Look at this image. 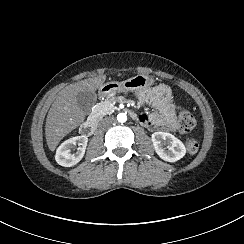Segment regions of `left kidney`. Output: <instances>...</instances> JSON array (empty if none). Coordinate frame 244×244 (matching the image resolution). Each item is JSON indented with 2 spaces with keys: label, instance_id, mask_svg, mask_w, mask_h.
I'll use <instances>...</instances> for the list:
<instances>
[{
  "label": "left kidney",
  "instance_id": "left-kidney-1",
  "mask_svg": "<svg viewBox=\"0 0 244 244\" xmlns=\"http://www.w3.org/2000/svg\"><path fill=\"white\" fill-rule=\"evenodd\" d=\"M152 142L156 153L167 162H176L186 154V148L182 141L167 132H155L152 134ZM163 142L168 143L167 149L163 148Z\"/></svg>",
  "mask_w": 244,
  "mask_h": 244
}]
</instances>
